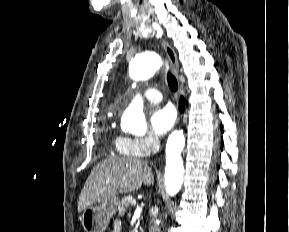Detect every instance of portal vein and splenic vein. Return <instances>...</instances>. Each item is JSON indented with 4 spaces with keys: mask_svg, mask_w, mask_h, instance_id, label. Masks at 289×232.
Masks as SVG:
<instances>
[{
    "mask_svg": "<svg viewBox=\"0 0 289 232\" xmlns=\"http://www.w3.org/2000/svg\"><path fill=\"white\" fill-rule=\"evenodd\" d=\"M108 182H109V181H108ZM131 204H132L133 206H135V205H136V201H135V200H132Z\"/></svg>",
    "mask_w": 289,
    "mask_h": 232,
    "instance_id": "1",
    "label": "portal vein and splenic vein"
}]
</instances>
